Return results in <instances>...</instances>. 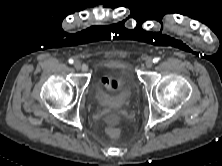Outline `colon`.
<instances>
[{
	"label": "colon",
	"mask_w": 222,
	"mask_h": 166,
	"mask_svg": "<svg viewBox=\"0 0 222 166\" xmlns=\"http://www.w3.org/2000/svg\"><path fill=\"white\" fill-rule=\"evenodd\" d=\"M107 134L111 137V138H117L120 136L121 134V130L119 127L117 126H109L107 128Z\"/></svg>",
	"instance_id": "obj_1"
}]
</instances>
